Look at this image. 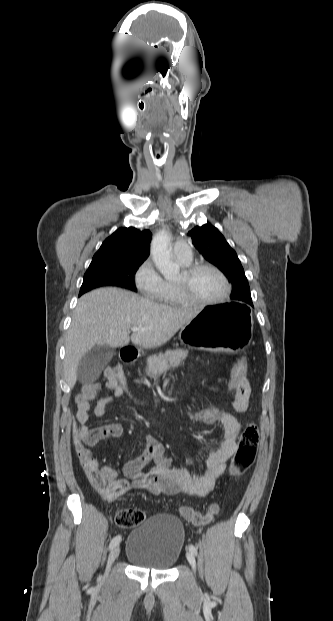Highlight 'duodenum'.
<instances>
[{
  "instance_id": "1",
  "label": "duodenum",
  "mask_w": 333,
  "mask_h": 621,
  "mask_svg": "<svg viewBox=\"0 0 333 621\" xmlns=\"http://www.w3.org/2000/svg\"><path fill=\"white\" fill-rule=\"evenodd\" d=\"M120 355L123 362L131 364L138 359L139 353L133 348H124Z\"/></svg>"
}]
</instances>
